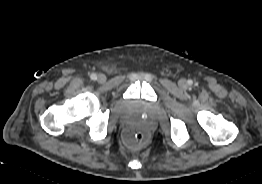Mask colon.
Returning <instances> with one entry per match:
<instances>
[{"label": "colon", "instance_id": "obj_1", "mask_svg": "<svg viewBox=\"0 0 262 184\" xmlns=\"http://www.w3.org/2000/svg\"><path fill=\"white\" fill-rule=\"evenodd\" d=\"M147 135L139 130H130L126 134V144L130 148H140L147 142Z\"/></svg>", "mask_w": 262, "mask_h": 184}]
</instances>
